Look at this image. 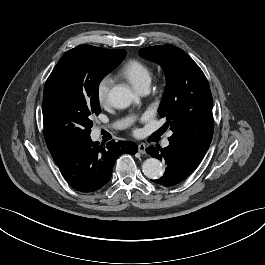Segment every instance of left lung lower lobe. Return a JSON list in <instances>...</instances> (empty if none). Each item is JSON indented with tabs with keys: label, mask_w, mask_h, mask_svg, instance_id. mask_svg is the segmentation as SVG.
<instances>
[{
	"label": "left lung lower lobe",
	"mask_w": 265,
	"mask_h": 265,
	"mask_svg": "<svg viewBox=\"0 0 265 265\" xmlns=\"http://www.w3.org/2000/svg\"><path fill=\"white\" fill-rule=\"evenodd\" d=\"M146 152L160 161H165L166 170L164 175L154 182L166 187L182 182L197 167L188 162L180 152L171 146L164 149L151 146L146 149Z\"/></svg>",
	"instance_id": "0a47b994"
}]
</instances>
